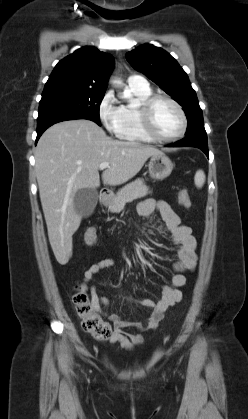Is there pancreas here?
Returning a JSON list of instances; mask_svg holds the SVG:
<instances>
[{
	"label": "pancreas",
	"mask_w": 248,
	"mask_h": 419,
	"mask_svg": "<svg viewBox=\"0 0 248 419\" xmlns=\"http://www.w3.org/2000/svg\"><path fill=\"white\" fill-rule=\"evenodd\" d=\"M149 188L145 185L144 180L138 178L124 187H122L113 199L109 208L110 212L117 213L123 210L126 203L137 198H141L149 194Z\"/></svg>",
	"instance_id": "obj_1"
}]
</instances>
